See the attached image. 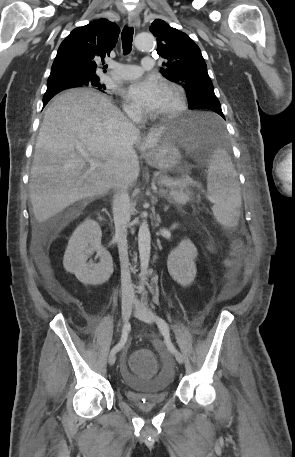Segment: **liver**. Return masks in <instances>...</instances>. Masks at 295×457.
Returning <instances> with one entry per match:
<instances>
[{
    "label": "liver",
    "instance_id": "liver-1",
    "mask_svg": "<svg viewBox=\"0 0 295 457\" xmlns=\"http://www.w3.org/2000/svg\"><path fill=\"white\" fill-rule=\"evenodd\" d=\"M164 126L154 128L140 145V131L105 96L72 89L48 106L37 137L29 196L40 223L82 199L116 188L120 179L133 186L139 176L134 145L156 146ZM84 155L101 161L88 167Z\"/></svg>",
    "mask_w": 295,
    "mask_h": 457
}]
</instances>
